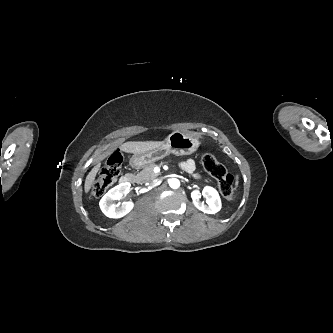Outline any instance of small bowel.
Wrapping results in <instances>:
<instances>
[{
	"mask_svg": "<svg viewBox=\"0 0 333 333\" xmlns=\"http://www.w3.org/2000/svg\"><path fill=\"white\" fill-rule=\"evenodd\" d=\"M181 167L188 172H192L195 168V164H194L193 160L189 159V160L182 162Z\"/></svg>",
	"mask_w": 333,
	"mask_h": 333,
	"instance_id": "1",
	"label": "small bowel"
}]
</instances>
